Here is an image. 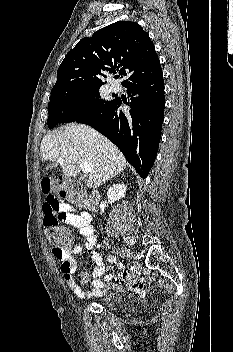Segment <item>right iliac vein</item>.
Instances as JSON below:
<instances>
[{
  "label": "right iliac vein",
  "instance_id": "right-iliac-vein-1",
  "mask_svg": "<svg viewBox=\"0 0 233 352\" xmlns=\"http://www.w3.org/2000/svg\"><path fill=\"white\" fill-rule=\"evenodd\" d=\"M116 253L122 257H127V258H130V259H134V253L126 248V247H117L116 248Z\"/></svg>",
  "mask_w": 233,
  "mask_h": 352
}]
</instances>
